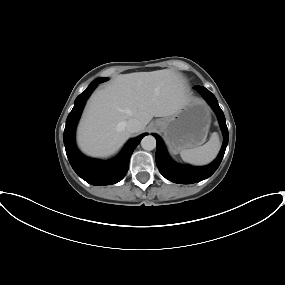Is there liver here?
Masks as SVG:
<instances>
[{
    "instance_id": "liver-1",
    "label": "liver",
    "mask_w": 285,
    "mask_h": 285,
    "mask_svg": "<svg viewBox=\"0 0 285 285\" xmlns=\"http://www.w3.org/2000/svg\"><path fill=\"white\" fill-rule=\"evenodd\" d=\"M191 100L183 77L170 69L122 74L90 97L78 127L81 150L94 157L116 152L130 137L126 123L140 131L153 117H168Z\"/></svg>"
}]
</instances>
